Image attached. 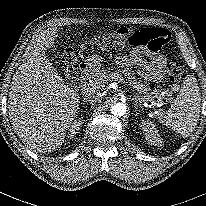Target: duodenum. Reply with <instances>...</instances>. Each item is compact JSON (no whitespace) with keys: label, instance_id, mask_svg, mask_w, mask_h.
<instances>
[{"label":"duodenum","instance_id":"duodenum-1","mask_svg":"<svg viewBox=\"0 0 206 206\" xmlns=\"http://www.w3.org/2000/svg\"><path fill=\"white\" fill-rule=\"evenodd\" d=\"M76 70V77L80 78L82 76H84L86 74V72L88 71V68H84L82 65H78L75 67Z\"/></svg>","mask_w":206,"mask_h":206}]
</instances>
